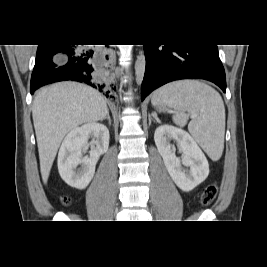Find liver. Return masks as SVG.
Listing matches in <instances>:
<instances>
[{"mask_svg":"<svg viewBox=\"0 0 267 267\" xmlns=\"http://www.w3.org/2000/svg\"><path fill=\"white\" fill-rule=\"evenodd\" d=\"M107 112L103 96L97 90L83 84L56 83L36 94L32 117L40 171L45 184L66 134L83 123L103 120Z\"/></svg>","mask_w":267,"mask_h":267,"instance_id":"obj_1","label":"liver"}]
</instances>
